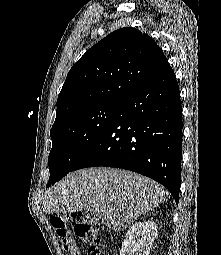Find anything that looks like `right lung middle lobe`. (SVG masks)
<instances>
[{
	"mask_svg": "<svg viewBox=\"0 0 221 255\" xmlns=\"http://www.w3.org/2000/svg\"><path fill=\"white\" fill-rule=\"evenodd\" d=\"M120 103H103L78 110L51 129L52 149L47 187L62 179L102 134Z\"/></svg>",
	"mask_w": 221,
	"mask_h": 255,
	"instance_id": "1",
	"label": "right lung middle lobe"
}]
</instances>
